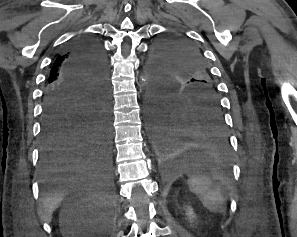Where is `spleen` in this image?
I'll use <instances>...</instances> for the list:
<instances>
[{"label":"spleen","mask_w":297,"mask_h":237,"mask_svg":"<svg viewBox=\"0 0 297 237\" xmlns=\"http://www.w3.org/2000/svg\"><path fill=\"white\" fill-rule=\"evenodd\" d=\"M188 185L191 192L196 194L203 206L210 212H220L223 204L222 184L218 176L196 174L190 176Z\"/></svg>","instance_id":"3e777b00"}]
</instances>
